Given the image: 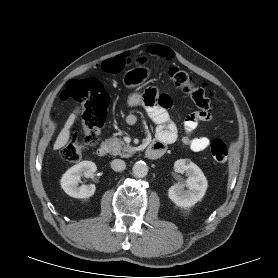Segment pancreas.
<instances>
[{
	"label": "pancreas",
	"mask_w": 278,
	"mask_h": 278,
	"mask_svg": "<svg viewBox=\"0 0 278 278\" xmlns=\"http://www.w3.org/2000/svg\"><path fill=\"white\" fill-rule=\"evenodd\" d=\"M104 144L108 147V152L114 156L130 157L133 154V150L127 148L125 143L117 137L106 139Z\"/></svg>",
	"instance_id": "obj_1"
}]
</instances>
